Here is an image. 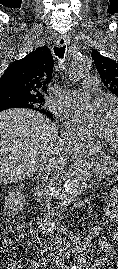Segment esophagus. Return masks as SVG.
I'll return each instance as SVG.
<instances>
[{
  "label": "esophagus",
  "instance_id": "esophagus-1",
  "mask_svg": "<svg viewBox=\"0 0 118 269\" xmlns=\"http://www.w3.org/2000/svg\"><path fill=\"white\" fill-rule=\"evenodd\" d=\"M69 43V40L65 37H60L57 40V46L62 47L64 45H67ZM86 159V154L81 151H76L73 155V160L75 162H81Z\"/></svg>",
  "mask_w": 118,
  "mask_h": 269
}]
</instances>
